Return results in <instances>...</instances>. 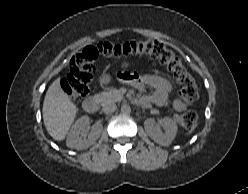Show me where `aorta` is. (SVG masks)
Wrapping results in <instances>:
<instances>
[{
  "mask_svg": "<svg viewBox=\"0 0 248 194\" xmlns=\"http://www.w3.org/2000/svg\"><path fill=\"white\" fill-rule=\"evenodd\" d=\"M121 112H122L123 114H129V113L131 112L130 106L127 105V104H123V105L121 106Z\"/></svg>",
  "mask_w": 248,
  "mask_h": 194,
  "instance_id": "762f6f07",
  "label": "aorta"
}]
</instances>
